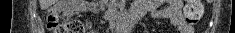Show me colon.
Instances as JSON below:
<instances>
[{
    "mask_svg": "<svg viewBox=\"0 0 235 33\" xmlns=\"http://www.w3.org/2000/svg\"><path fill=\"white\" fill-rule=\"evenodd\" d=\"M186 21L196 23L202 16V6L198 0H187L184 8ZM89 26L80 20L60 22L59 12L52 10L47 17V29L50 33H86Z\"/></svg>",
    "mask_w": 235,
    "mask_h": 33,
    "instance_id": "5ec220e1",
    "label": "colon"
}]
</instances>
